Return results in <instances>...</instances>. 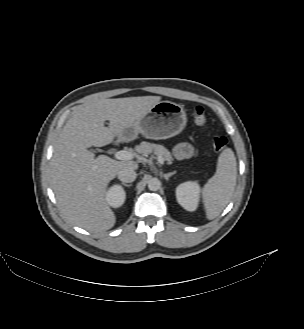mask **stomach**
I'll use <instances>...</instances> for the list:
<instances>
[{
  "label": "stomach",
  "mask_w": 304,
  "mask_h": 329,
  "mask_svg": "<svg viewBox=\"0 0 304 329\" xmlns=\"http://www.w3.org/2000/svg\"><path fill=\"white\" fill-rule=\"evenodd\" d=\"M184 108L171 101H161L147 114L126 127L119 135L121 141H131L140 133L149 139H167L179 134L186 126Z\"/></svg>",
  "instance_id": "0dacf381"
}]
</instances>
